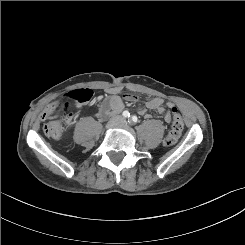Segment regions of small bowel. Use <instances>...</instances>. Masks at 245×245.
Here are the masks:
<instances>
[{
  "instance_id": "small-bowel-1",
  "label": "small bowel",
  "mask_w": 245,
  "mask_h": 245,
  "mask_svg": "<svg viewBox=\"0 0 245 245\" xmlns=\"http://www.w3.org/2000/svg\"><path fill=\"white\" fill-rule=\"evenodd\" d=\"M138 100L137 96L133 94H125L123 99L117 95H112L109 99L103 101L99 106L98 115L100 117L108 116L112 111L119 110L122 106L124 101L127 103H135ZM146 108L151 111H155L159 114L164 115V120L167 123L172 121V118L169 113L166 112L164 100L161 98H153L147 101ZM140 114L149 118L150 114L146 109H141Z\"/></svg>"
}]
</instances>
